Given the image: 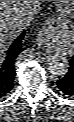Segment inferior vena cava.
Segmentation results:
<instances>
[{
	"label": "inferior vena cava",
	"mask_w": 74,
	"mask_h": 122,
	"mask_svg": "<svg viewBox=\"0 0 74 122\" xmlns=\"http://www.w3.org/2000/svg\"><path fill=\"white\" fill-rule=\"evenodd\" d=\"M39 5L31 7L28 9V12L23 13V15H21V27H26L30 24V22L32 21V19H34L35 15L38 13L39 11Z\"/></svg>",
	"instance_id": "inferior-vena-cava-1"
}]
</instances>
